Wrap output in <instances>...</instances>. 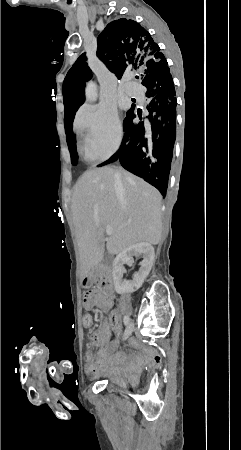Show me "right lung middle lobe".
Wrapping results in <instances>:
<instances>
[{
  "label": "right lung middle lobe",
  "mask_w": 241,
  "mask_h": 450,
  "mask_svg": "<svg viewBox=\"0 0 241 450\" xmlns=\"http://www.w3.org/2000/svg\"><path fill=\"white\" fill-rule=\"evenodd\" d=\"M87 80L77 74L68 72L63 82V102L65 107V115L69 112H76L77 109L83 104L85 100L84 88ZM134 111L132 107L126 114H130ZM71 155V163L76 165L78 162L76 149L69 147Z\"/></svg>",
  "instance_id": "obj_1"
}]
</instances>
